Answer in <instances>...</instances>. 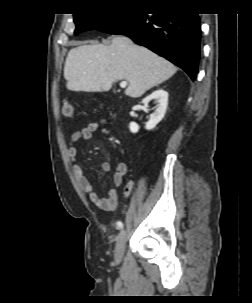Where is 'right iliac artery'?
I'll return each instance as SVG.
<instances>
[{"mask_svg":"<svg viewBox=\"0 0 252 303\" xmlns=\"http://www.w3.org/2000/svg\"><path fill=\"white\" fill-rule=\"evenodd\" d=\"M117 226H118L119 229H122L123 228V223L121 221H118Z\"/></svg>","mask_w":252,"mask_h":303,"instance_id":"1","label":"right iliac artery"}]
</instances>
